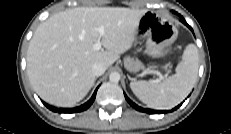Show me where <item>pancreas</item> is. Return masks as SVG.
Masks as SVG:
<instances>
[{
	"instance_id": "obj_1",
	"label": "pancreas",
	"mask_w": 231,
	"mask_h": 134,
	"mask_svg": "<svg viewBox=\"0 0 231 134\" xmlns=\"http://www.w3.org/2000/svg\"><path fill=\"white\" fill-rule=\"evenodd\" d=\"M124 66L127 70L135 72L138 71L139 69L144 68L143 64L141 61L138 59H134L131 57H126L124 59Z\"/></svg>"
}]
</instances>
